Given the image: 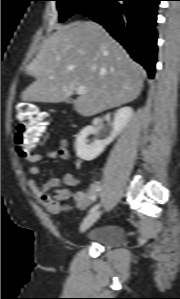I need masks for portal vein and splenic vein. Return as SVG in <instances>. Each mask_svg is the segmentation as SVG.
<instances>
[{
    "label": "portal vein and splenic vein",
    "mask_w": 180,
    "mask_h": 299,
    "mask_svg": "<svg viewBox=\"0 0 180 299\" xmlns=\"http://www.w3.org/2000/svg\"><path fill=\"white\" fill-rule=\"evenodd\" d=\"M76 92H77V94H79V95H83V94H85V93L87 92V90H86L85 87H83V86H79V87L76 88Z\"/></svg>",
    "instance_id": "1"
}]
</instances>
